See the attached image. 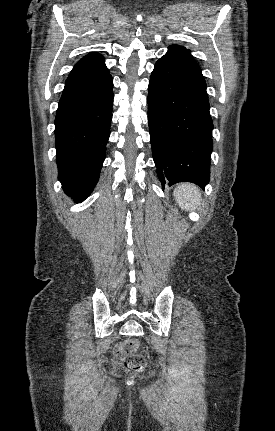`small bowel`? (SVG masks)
Instances as JSON below:
<instances>
[{
  "label": "small bowel",
  "instance_id": "c3829d8e",
  "mask_svg": "<svg viewBox=\"0 0 275 431\" xmlns=\"http://www.w3.org/2000/svg\"><path fill=\"white\" fill-rule=\"evenodd\" d=\"M115 355H116V357H117V358H122V357H123V353H122V345H118V346L116 347Z\"/></svg>",
  "mask_w": 275,
  "mask_h": 431
}]
</instances>
